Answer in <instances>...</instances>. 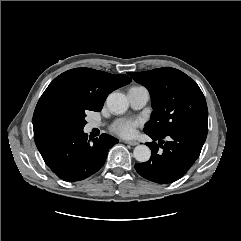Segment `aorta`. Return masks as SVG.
Segmentation results:
<instances>
[{
	"instance_id": "762f6f07",
	"label": "aorta",
	"mask_w": 241,
	"mask_h": 241,
	"mask_svg": "<svg viewBox=\"0 0 241 241\" xmlns=\"http://www.w3.org/2000/svg\"><path fill=\"white\" fill-rule=\"evenodd\" d=\"M108 109L114 114H123L127 111L129 103L121 93H111L106 100ZM134 158L139 162H146L150 159L151 150L146 145H138L133 151Z\"/></svg>"
}]
</instances>
